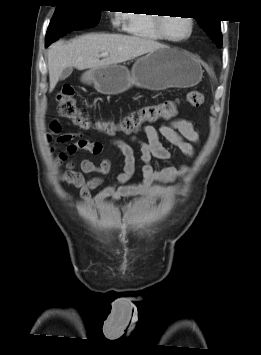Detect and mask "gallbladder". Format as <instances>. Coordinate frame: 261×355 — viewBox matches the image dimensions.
Here are the masks:
<instances>
[{
	"label": "gallbladder",
	"mask_w": 261,
	"mask_h": 355,
	"mask_svg": "<svg viewBox=\"0 0 261 355\" xmlns=\"http://www.w3.org/2000/svg\"><path fill=\"white\" fill-rule=\"evenodd\" d=\"M72 71V67H66L60 76V80H65L66 78H68L71 75Z\"/></svg>",
	"instance_id": "bac80fb5"
}]
</instances>
